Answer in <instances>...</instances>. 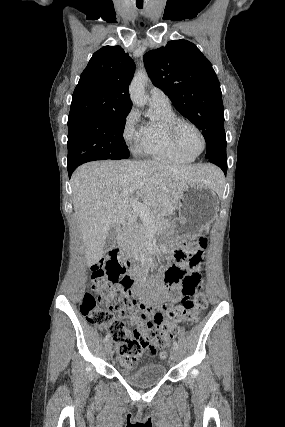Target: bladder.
<instances>
[{
	"mask_svg": "<svg viewBox=\"0 0 285 427\" xmlns=\"http://www.w3.org/2000/svg\"><path fill=\"white\" fill-rule=\"evenodd\" d=\"M118 372L121 376L131 384L137 387L151 386L160 382L166 373V369L162 364H148L137 369H120Z\"/></svg>",
	"mask_w": 285,
	"mask_h": 427,
	"instance_id": "1",
	"label": "bladder"
}]
</instances>
